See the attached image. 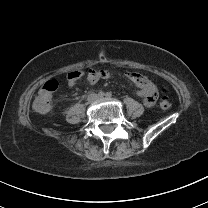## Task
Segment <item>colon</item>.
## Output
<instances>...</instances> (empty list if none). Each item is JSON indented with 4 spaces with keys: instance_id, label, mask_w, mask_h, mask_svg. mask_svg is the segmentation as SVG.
<instances>
[{
    "instance_id": "1",
    "label": "colon",
    "mask_w": 208,
    "mask_h": 208,
    "mask_svg": "<svg viewBox=\"0 0 208 208\" xmlns=\"http://www.w3.org/2000/svg\"><path fill=\"white\" fill-rule=\"evenodd\" d=\"M84 75L83 71L76 70L74 72H69L67 74V83L73 84L77 81V79L81 78ZM59 89V84L55 80H50L45 83V85L42 87V89L39 91L37 95V101L35 103V110L39 114H46L50 110V99L53 96L54 93H56ZM163 92L166 91V88L164 87L162 89ZM160 107L164 110H167L171 107V101L168 97L163 96L159 103Z\"/></svg>"
}]
</instances>
